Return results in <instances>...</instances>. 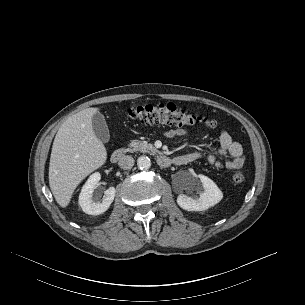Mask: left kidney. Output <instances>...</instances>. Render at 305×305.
Instances as JSON below:
<instances>
[{"label":"left kidney","instance_id":"left-kidney-1","mask_svg":"<svg viewBox=\"0 0 305 305\" xmlns=\"http://www.w3.org/2000/svg\"><path fill=\"white\" fill-rule=\"evenodd\" d=\"M201 185L203 191H200L199 197L194 199L191 196L180 194L177 197L178 205L187 211H203L221 201L223 193L218 186L207 176L199 175L193 177L186 183V190L192 191Z\"/></svg>","mask_w":305,"mask_h":305}]
</instances>
